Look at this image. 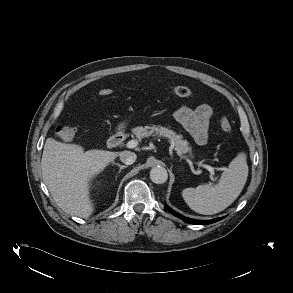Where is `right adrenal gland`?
I'll list each match as a JSON object with an SVG mask.
<instances>
[{"instance_id": "right-adrenal-gland-1", "label": "right adrenal gland", "mask_w": 293, "mask_h": 293, "mask_svg": "<svg viewBox=\"0 0 293 293\" xmlns=\"http://www.w3.org/2000/svg\"><path fill=\"white\" fill-rule=\"evenodd\" d=\"M114 165H117L119 167V172L118 173H120L122 169L127 168L126 165H120L119 163H114ZM116 178H117V176H116Z\"/></svg>"}]
</instances>
